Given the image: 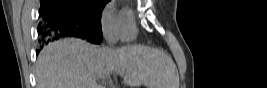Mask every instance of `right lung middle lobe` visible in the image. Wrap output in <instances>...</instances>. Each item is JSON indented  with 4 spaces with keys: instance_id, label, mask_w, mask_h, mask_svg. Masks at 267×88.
Instances as JSON below:
<instances>
[{
    "instance_id": "right-lung-middle-lobe-1",
    "label": "right lung middle lobe",
    "mask_w": 267,
    "mask_h": 88,
    "mask_svg": "<svg viewBox=\"0 0 267 88\" xmlns=\"http://www.w3.org/2000/svg\"><path fill=\"white\" fill-rule=\"evenodd\" d=\"M110 0H41V10L55 13L83 25L101 36V14Z\"/></svg>"
}]
</instances>
